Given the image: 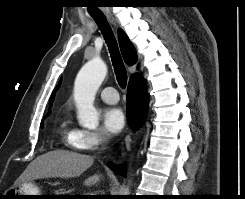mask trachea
<instances>
[{
	"label": "trachea",
	"mask_w": 245,
	"mask_h": 199,
	"mask_svg": "<svg viewBox=\"0 0 245 199\" xmlns=\"http://www.w3.org/2000/svg\"><path fill=\"white\" fill-rule=\"evenodd\" d=\"M94 20L98 24L100 30L102 31L106 43L108 45L110 55L112 58V63L116 75V79L122 88L126 87L127 84V72L119 52L117 41L113 35V32L105 18L104 15L93 16Z\"/></svg>",
	"instance_id": "obj_1"
}]
</instances>
